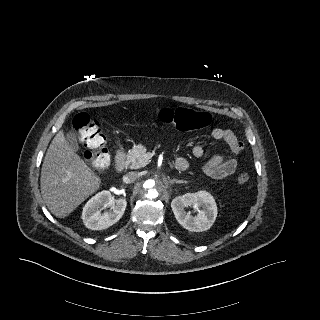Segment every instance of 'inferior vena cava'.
I'll list each match as a JSON object with an SVG mask.
<instances>
[{
	"label": "inferior vena cava",
	"instance_id": "1",
	"mask_svg": "<svg viewBox=\"0 0 320 320\" xmlns=\"http://www.w3.org/2000/svg\"><path fill=\"white\" fill-rule=\"evenodd\" d=\"M138 177H139L138 173L135 171H132L123 176V182L131 183V182H134Z\"/></svg>",
	"mask_w": 320,
	"mask_h": 320
}]
</instances>
